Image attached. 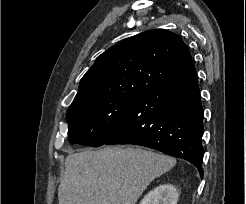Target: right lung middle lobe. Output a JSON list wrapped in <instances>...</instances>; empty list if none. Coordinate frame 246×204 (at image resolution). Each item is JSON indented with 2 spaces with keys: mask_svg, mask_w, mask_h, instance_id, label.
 <instances>
[{
  "mask_svg": "<svg viewBox=\"0 0 246 204\" xmlns=\"http://www.w3.org/2000/svg\"><path fill=\"white\" fill-rule=\"evenodd\" d=\"M140 94L103 96L71 105L67 112L68 140L98 147L122 126Z\"/></svg>",
  "mask_w": 246,
  "mask_h": 204,
  "instance_id": "1",
  "label": "right lung middle lobe"
}]
</instances>
